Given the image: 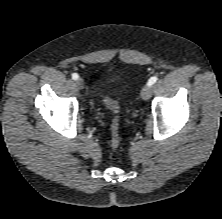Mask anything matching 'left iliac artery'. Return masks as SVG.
Returning a JSON list of instances; mask_svg holds the SVG:
<instances>
[{
    "mask_svg": "<svg viewBox=\"0 0 222 219\" xmlns=\"http://www.w3.org/2000/svg\"><path fill=\"white\" fill-rule=\"evenodd\" d=\"M157 80H158V78L156 76H153L148 80L147 85L151 86L154 83H156Z\"/></svg>",
    "mask_w": 222,
    "mask_h": 219,
    "instance_id": "1",
    "label": "left iliac artery"
}]
</instances>
